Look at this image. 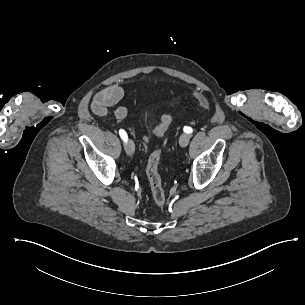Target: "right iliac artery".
<instances>
[{
	"mask_svg": "<svg viewBox=\"0 0 305 305\" xmlns=\"http://www.w3.org/2000/svg\"><path fill=\"white\" fill-rule=\"evenodd\" d=\"M119 134H120V137L123 139V141L127 142L128 136H127V133L123 129L119 130Z\"/></svg>",
	"mask_w": 305,
	"mask_h": 305,
	"instance_id": "obj_1",
	"label": "right iliac artery"
}]
</instances>
